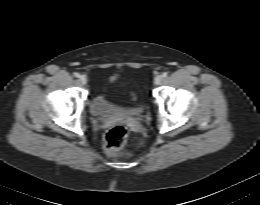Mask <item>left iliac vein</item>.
<instances>
[{
    "label": "left iliac vein",
    "instance_id": "4c4485c4",
    "mask_svg": "<svg viewBox=\"0 0 260 205\" xmlns=\"http://www.w3.org/2000/svg\"><path fill=\"white\" fill-rule=\"evenodd\" d=\"M162 81H163V77L161 75L156 76L154 79L156 85H160Z\"/></svg>",
    "mask_w": 260,
    "mask_h": 205
}]
</instances>
